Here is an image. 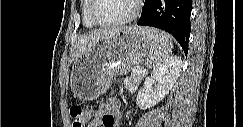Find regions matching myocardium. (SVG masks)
Wrapping results in <instances>:
<instances>
[{
	"instance_id": "obj_1",
	"label": "myocardium",
	"mask_w": 243,
	"mask_h": 127,
	"mask_svg": "<svg viewBox=\"0 0 243 127\" xmlns=\"http://www.w3.org/2000/svg\"><path fill=\"white\" fill-rule=\"evenodd\" d=\"M97 0H90V7H89V17L92 20L94 24L97 26H102V27H114V26H120L127 24L131 21H133L140 13L141 10V0H133L134 2V8L133 11L126 17L114 20V21H103L97 18L95 14V5H96Z\"/></svg>"
}]
</instances>
